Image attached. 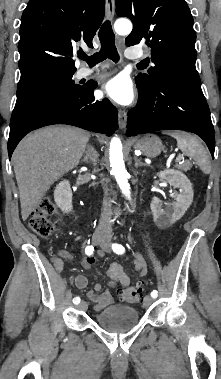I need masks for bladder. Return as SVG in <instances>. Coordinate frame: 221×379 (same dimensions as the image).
Returning <instances> with one entry per match:
<instances>
[{
    "label": "bladder",
    "mask_w": 221,
    "mask_h": 379,
    "mask_svg": "<svg viewBox=\"0 0 221 379\" xmlns=\"http://www.w3.org/2000/svg\"><path fill=\"white\" fill-rule=\"evenodd\" d=\"M139 312L131 306L113 304L94 316V321L103 329L111 333H123L139 322Z\"/></svg>",
    "instance_id": "obj_1"
}]
</instances>
